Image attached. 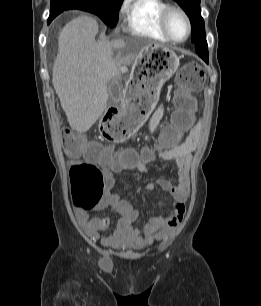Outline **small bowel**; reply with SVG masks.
<instances>
[{"mask_svg":"<svg viewBox=\"0 0 261 306\" xmlns=\"http://www.w3.org/2000/svg\"><path fill=\"white\" fill-rule=\"evenodd\" d=\"M165 107L160 105L153 113L148 129L154 132L159 125L164 114ZM201 135L200 124H197L186 139L171 148L158 150L152 153L148 158L137 160L135 162L115 161L111 152L109 159L103 161L104 167V193L95 210H101L106 207H113L119 215V220L113 232L100 238V232L110 227V217H91L90 212L86 210L76 211V219L88 237L93 240H101L106 248H141L155 240L165 239L172 236L179 228L185 213V201L189 192L188 168L191 162L192 153L198 147ZM156 156L165 160L172 161L178 168L176 182H171L166 178H158L154 183H149L148 188L154 189L159 186L162 190L168 192L173 198V209L169 216H151L141 228L134 227V223L140 218V212L122 196L114 192L115 178L114 172L123 170H136L141 173H148V160ZM76 160L69 162L71 167Z\"/></svg>","mask_w":261,"mask_h":306,"instance_id":"c3829d8e","label":"small bowel"}]
</instances>
